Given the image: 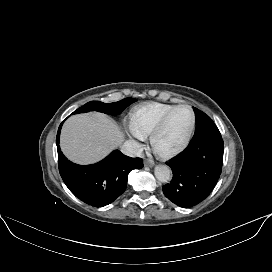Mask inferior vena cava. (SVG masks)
<instances>
[{"label": "inferior vena cava", "instance_id": "inferior-vena-cava-1", "mask_svg": "<svg viewBox=\"0 0 272 272\" xmlns=\"http://www.w3.org/2000/svg\"><path fill=\"white\" fill-rule=\"evenodd\" d=\"M121 151L123 154L130 157H140L142 155V148L134 140H127L121 146Z\"/></svg>", "mask_w": 272, "mask_h": 272}]
</instances>
